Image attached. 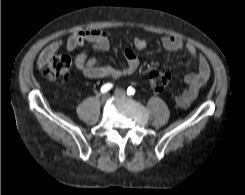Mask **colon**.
<instances>
[{
    "instance_id": "obj_1",
    "label": "colon",
    "mask_w": 245,
    "mask_h": 195,
    "mask_svg": "<svg viewBox=\"0 0 245 195\" xmlns=\"http://www.w3.org/2000/svg\"><path fill=\"white\" fill-rule=\"evenodd\" d=\"M70 69V56L55 50L48 60L44 75L49 81L64 80L68 77ZM169 80V73L154 71L149 76V85L153 91L160 92L167 86Z\"/></svg>"
}]
</instances>
